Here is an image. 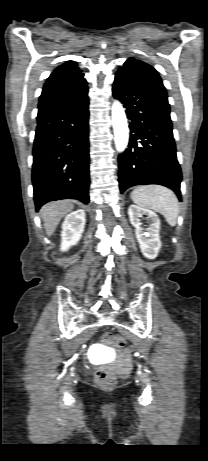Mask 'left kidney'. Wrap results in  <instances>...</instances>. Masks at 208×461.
<instances>
[{
  "mask_svg": "<svg viewBox=\"0 0 208 461\" xmlns=\"http://www.w3.org/2000/svg\"><path fill=\"white\" fill-rule=\"evenodd\" d=\"M128 214L131 224L135 227L136 238L142 254L148 259H154L161 248L159 236L160 219L158 215L151 210L143 209L136 205H131L128 208ZM143 215H147L151 222L146 230L141 227L140 217Z\"/></svg>",
  "mask_w": 208,
  "mask_h": 461,
  "instance_id": "obj_1",
  "label": "left kidney"
}]
</instances>
